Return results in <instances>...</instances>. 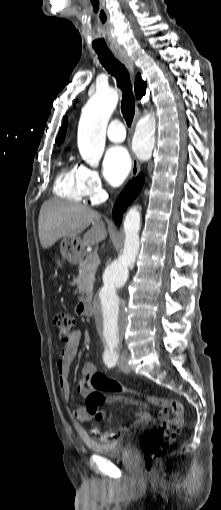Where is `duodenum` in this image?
<instances>
[{"instance_id":"410a0bca","label":"duodenum","mask_w":221,"mask_h":510,"mask_svg":"<svg viewBox=\"0 0 221 510\" xmlns=\"http://www.w3.org/2000/svg\"><path fill=\"white\" fill-rule=\"evenodd\" d=\"M94 306V298L88 299L84 301L83 303H80L79 308L82 313H84L86 316H90L93 311Z\"/></svg>"}]
</instances>
